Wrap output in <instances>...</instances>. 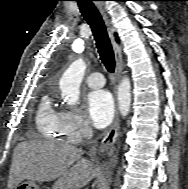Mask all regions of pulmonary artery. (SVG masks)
Listing matches in <instances>:
<instances>
[{
	"label": "pulmonary artery",
	"instance_id": "e3ab8cb5",
	"mask_svg": "<svg viewBox=\"0 0 188 189\" xmlns=\"http://www.w3.org/2000/svg\"><path fill=\"white\" fill-rule=\"evenodd\" d=\"M86 84L91 88H101L105 84L104 77L99 72L89 74L85 79Z\"/></svg>",
	"mask_w": 188,
	"mask_h": 189
}]
</instances>
